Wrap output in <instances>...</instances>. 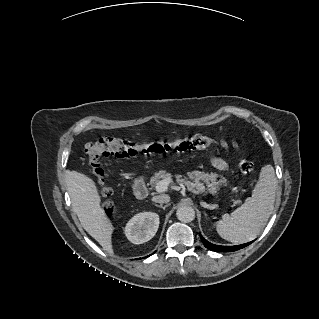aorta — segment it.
<instances>
[{
	"mask_svg": "<svg viewBox=\"0 0 319 319\" xmlns=\"http://www.w3.org/2000/svg\"><path fill=\"white\" fill-rule=\"evenodd\" d=\"M176 216L179 221L184 223H190L195 218V211L189 205H182L178 207L176 211Z\"/></svg>",
	"mask_w": 319,
	"mask_h": 319,
	"instance_id": "762f6f07",
	"label": "aorta"
}]
</instances>
